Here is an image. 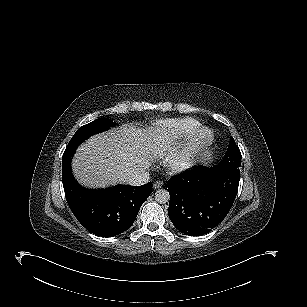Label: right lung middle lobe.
<instances>
[{
    "label": "right lung middle lobe",
    "mask_w": 307,
    "mask_h": 307,
    "mask_svg": "<svg viewBox=\"0 0 307 307\" xmlns=\"http://www.w3.org/2000/svg\"><path fill=\"white\" fill-rule=\"evenodd\" d=\"M113 125H115V123H112V121H110L109 119L99 118L91 123L80 127L68 143L66 150L76 149L90 136L106 131Z\"/></svg>",
    "instance_id": "right-lung-middle-lobe-1"
}]
</instances>
